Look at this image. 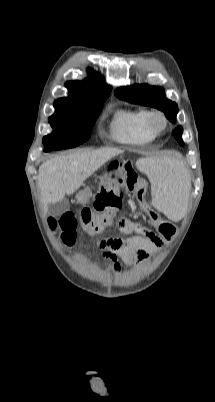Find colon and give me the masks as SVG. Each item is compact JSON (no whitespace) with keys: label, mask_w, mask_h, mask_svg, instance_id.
Listing matches in <instances>:
<instances>
[{"label":"colon","mask_w":215,"mask_h":402,"mask_svg":"<svg viewBox=\"0 0 215 402\" xmlns=\"http://www.w3.org/2000/svg\"><path fill=\"white\" fill-rule=\"evenodd\" d=\"M120 162L124 165L123 171L116 174L114 181L107 183L99 191L92 207H85L81 210L80 223L82 228L87 233L94 234L110 226L123 206V189H125L141 205L142 210L153 223L159 235L164 238L169 246H172L174 244L172 237L175 236L177 227L162 219L146 204V182L132 167V157L122 156ZM118 163L119 158L113 157L112 160L107 161L106 166L108 169H115ZM134 222L128 218H120L118 227L120 230L126 229ZM50 226L53 229L57 227L61 229V239L65 244L72 245L75 242L77 220L72 214L67 213L58 220L51 218Z\"/></svg>","instance_id":"obj_1"}]
</instances>
